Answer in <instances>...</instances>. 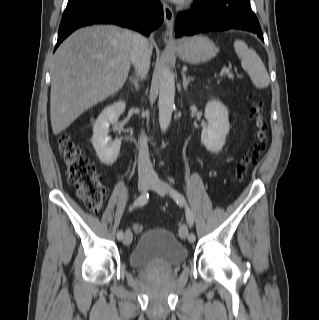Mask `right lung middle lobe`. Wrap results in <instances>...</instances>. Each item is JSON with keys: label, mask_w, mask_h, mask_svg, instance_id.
I'll return each instance as SVG.
<instances>
[{"label": "right lung middle lobe", "mask_w": 319, "mask_h": 320, "mask_svg": "<svg viewBox=\"0 0 319 320\" xmlns=\"http://www.w3.org/2000/svg\"><path fill=\"white\" fill-rule=\"evenodd\" d=\"M81 0H69L67 6H72L78 2H80Z\"/></svg>", "instance_id": "obj_1"}]
</instances>
